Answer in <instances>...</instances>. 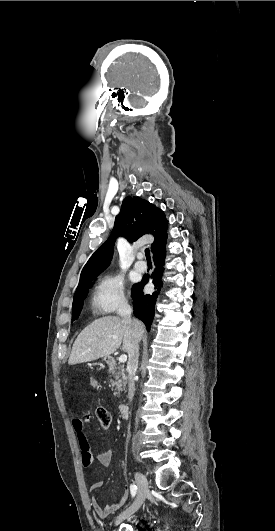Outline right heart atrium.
<instances>
[{
	"instance_id": "1",
	"label": "right heart atrium",
	"mask_w": 275,
	"mask_h": 531,
	"mask_svg": "<svg viewBox=\"0 0 275 531\" xmlns=\"http://www.w3.org/2000/svg\"><path fill=\"white\" fill-rule=\"evenodd\" d=\"M125 304L123 279L119 275L108 274L98 279L92 297L93 307L100 313H110Z\"/></svg>"
}]
</instances>
